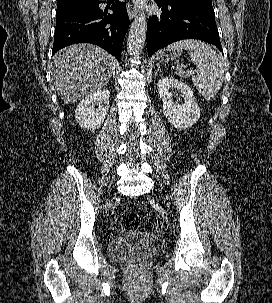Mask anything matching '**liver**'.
Instances as JSON below:
<instances>
[{"label": "liver", "instance_id": "1", "mask_svg": "<svg viewBox=\"0 0 272 303\" xmlns=\"http://www.w3.org/2000/svg\"><path fill=\"white\" fill-rule=\"evenodd\" d=\"M53 80L65 104L75 103L100 90L115 73L116 59L93 44H75L53 57Z\"/></svg>", "mask_w": 272, "mask_h": 303}]
</instances>
